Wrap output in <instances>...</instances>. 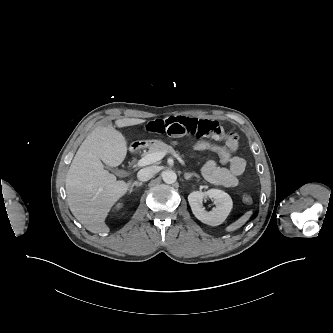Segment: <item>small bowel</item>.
I'll list each match as a JSON object with an SVG mask.
<instances>
[{
	"mask_svg": "<svg viewBox=\"0 0 333 333\" xmlns=\"http://www.w3.org/2000/svg\"><path fill=\"white\" fill-rule=\"evenodd\" d=\"M143 131L153 134H165L173 138L192 136L210 138L216 142H223L229 154V161L219 166L213 160L207 161L202 167V174L207 181L223 187H237L240 176L245 170V161L236 154L238 141L232 132H227L214 120L197 119L186 116H169L157 118L142 127Z\"/></svg>",
	"mask_w": 333,
	"mask_h": 333,
	"instance_id": "c3829d8e",
	"label": "small bowel"
}]
</instances>
